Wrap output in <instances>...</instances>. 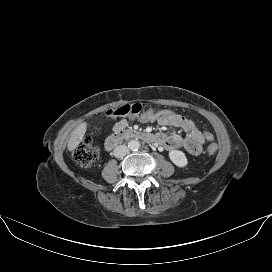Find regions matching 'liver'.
Wrapping results in <instances>:
<instances>
[{"instance_id": "6515ba94", "label": "liver", "mask_w": 272, "mask_h": 272, "mask_svg": "<svg viewBox=\"0 0 272 272\" xmlns=\"http://www.w3.org/2000/svg\"><path fill=\"white\" fill-rule=\"evenodd\" d=\"M87 125L85 122L81 123L76 129L72 132V135L68 141L67 148L69 151H73L83 140V137L86 133Z\"/></svg>"}]
</instances>
